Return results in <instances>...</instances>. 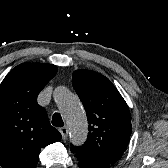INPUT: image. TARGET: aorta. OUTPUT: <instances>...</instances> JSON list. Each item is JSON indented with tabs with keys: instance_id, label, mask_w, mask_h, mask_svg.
I'll return each instance as SVG.
<instances>
[{
	"instance_id": "762f6f07",
	"label": "aorta",
	"mask_w": 168,
	"mask_h": 168,
	"mask_svg": "<svg viewBox=\"0 0 168 168\" xmlns=\"http://www.w3.org/2000/svg\"><path fill=\"white\" fill-rule=\"evenodd\" d=\"M53 97L68 124L71 142L82 145L87 138V119L78 96L59 86L54 90Z\"/></svg>"
}]
</instances>
